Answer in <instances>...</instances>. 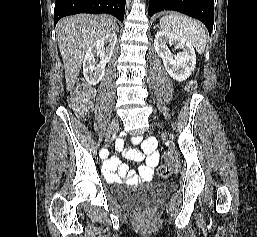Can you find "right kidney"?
Masks as SVG:
<instances>
[{"label":"right kidney","mask_w":257,"mask_h":237,"mask_svg":"<svg viewBox=\"0 0 257 237\" xmlns=\"http://www.w3.org/2000/svg\"><path fill=\"white\" fill-rule=\"evenodd\" d=\"M116 41L117 35L109 33L88 48L83 61V74L88 84L97 85L102 80L105 74V65L112 57ZM96 54L100 56V62L95 67Z\"/></svg>","instance_id":"1"}]
</instances>
